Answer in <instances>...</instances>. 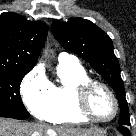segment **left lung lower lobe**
Here are the masks:
<instances>
[{
    "mask_svg": "<svg viewBox=\"0 0 136 136\" xmlns=\"http://www.w3.org/2000/svg\"><path fill=\"white\" fill-rule=\"evenodd\" d=\"M118 130L124 135V136H130V131L128 128L124 126H120Z\"/></svg>",
    "mask_w": 136,
    "mask_h": 136,
    "instance_id": "obj_1",
    "label": "left lung lower lobe"
}]
</instances>
